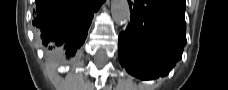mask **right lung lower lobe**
I'll return each mask as SVG.
<instances>
[{
  "instance_id": "98d812e1",
  "label": "right lung lower lobe",
  "mask_w": 228,
  "mask_h": 90,
  "mask_svg": "<svg viewBox=\"0 0 228 90\" xmlns=\"http://www.w3.org/2000/svg\"><path fill=\"white\" fill-rule=\"evenodd\" d=\"M104 0H36L33 26L45 49L57 58H73L84 43L93 13Z\"/></svg>"
}]
</instances>
